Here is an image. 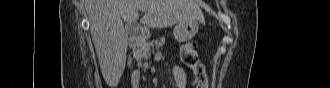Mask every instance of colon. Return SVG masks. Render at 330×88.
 <instances>
[{
  "mask_svg": "<svg viewBox=\"0 0 330 88\" xmlns=\"http://www.w3.org/2000/svg\"><path fill=\"white\" fill-rule=\"evenodd\" d=\"M181 60L192 71L195 77V88H208L209 80L206 68L200 61L196 43L189 42L182 46Z\"/></svg>",
  "mask_w": 330,
  "mask_h": 88,
  "instance_id": "5ec220e1",
  "label": "colon"
}]
</instances>
